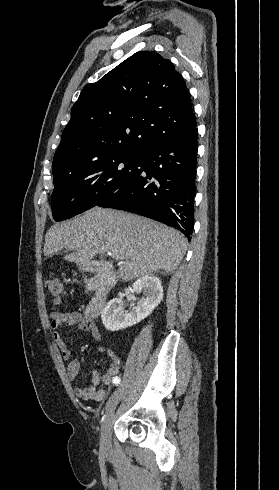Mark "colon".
Masks as SVG:
<instances>
[{
    "label": "colon",
    "mask_w": 279,
    "mask_h": 490,
    "mask_svg": "<svg viewBox=\"0 0 279 490\" xmlns=\"http://www.w3.org/2000/svg\"><path fill=\"white\" fill-rule=\"evenodd\" d=\"M46 289L57 302L60 301L63 293V282L60 279L53 278L47 280Z\"/></svg>",
    "instance_id": "1"
}]
</instances>
